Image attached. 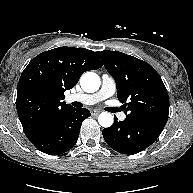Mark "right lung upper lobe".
<instances>
[{"instance_id":"cb5924a9","label":"right lung upper lobe","mask_w":193,"mask_h":193,"mask_svg":"<svg viewBox=\"0 0 193 193\" xmlns=\"http://www.w3.org/2000/svg\"><path fill=\"white\" fill-rule=\"evenodd\" d=\"M102 66L95 52L85 48L59 47L36 56L21 74L16 108L24 132L31 139L73 107L64 92L76 85L81 75Z\"/></svg>"}]
</instances>
